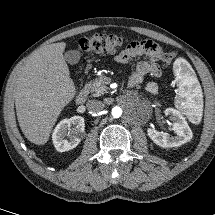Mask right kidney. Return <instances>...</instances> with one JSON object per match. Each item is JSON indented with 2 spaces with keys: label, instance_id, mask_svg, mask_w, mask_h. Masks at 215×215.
<instances>
[{
  "label": "right kidney",
  "instance_id": "ca27d5eb",
  "mask_svg": "<svg viewBox=\"0 0 215 215\" xmlns=\"http://www.w3.org/2000/svg\"><path fill=\"white\" fill-rule=\"evenodd\" d=\"M85 133L84 118L73 116L64 119L55 127L52 140L57 151L65 152L75 148Z\"/></svg>",
  "mask_w": 215,
  "mask_h": 215
}]
</instances>
